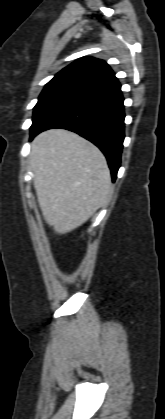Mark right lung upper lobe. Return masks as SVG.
I'll list each match as a JSON object with an SVG mask.
<instances>
[{
  "label": "right lung upper lobe",
  "mask_w": 165,
  "mask_h": 419,
  "mask_svg": "<svg viewBox=\"0 0 165 419\" xmlns=\"http://www.w3.org/2000/svg\"><path fill=\"white\" fill-rule=\"evenodd\" d=\"M117 82V78L106 62L84 57L61 70L45 88H61L87 95Z\"/></svg>",
  "instance_id": "cb5924a9"
}]
</instances>
